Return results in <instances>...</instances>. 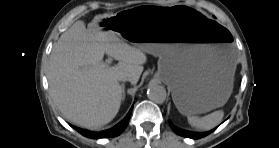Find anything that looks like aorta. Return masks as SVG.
I'll use <instances>...</instances> for the list:
<instances>
[{"label":"aorta","mask_w":279,"mask_h":148,"mask_svg":"<svg viewBox=\"0 0 279 148\" xmlns=\"http://www.w3.org/2000/svg\"><path fill=\"white\" fill-rule=\"evenodd\" d=\"M147 96L155 103H163L167 96L166 89L161 85H150Z\"/></svg>","instance_id":"obj_1"}]
</instances>
